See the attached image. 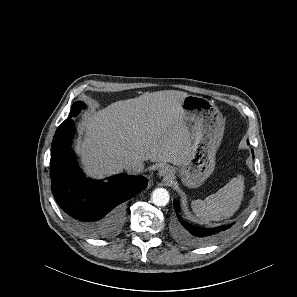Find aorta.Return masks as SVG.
<instances>
[{
  "instance_id": "762f6f07",
  "label": "aorta",
  "mask_w": 297,
  "mask_h": 297,
  "mask_svg": "<svg viewBox=\"0 0 297 297\" xmlns=\"http://www.w3.org/2000/svg\"><path fill=\"white\" fill-rule=\"evenodd\" d=\"M169 199V193L164 188H157L152 193V202L156 206H165Z\"/></svg>"
}]
</instances>
